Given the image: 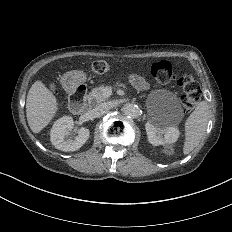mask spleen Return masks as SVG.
I'll return each mask as SVG.
<instances>
[{
  "label": "spleen",
  "instance_id": "3e777b00",
  "mask_svg": "<svg viewBox=\"0 0 232 232\" xmlns=\"http://www.w3.org/2000/svg\"><path fill=\"white\" fill-rule=\"evenodd\" d=\"M210 118L208 102L202 100L184 123L183 154L188 155L200 143Z\"/></svg>",
  "mask_w": 232,
  "mask_h": 232
}]
</instances>
